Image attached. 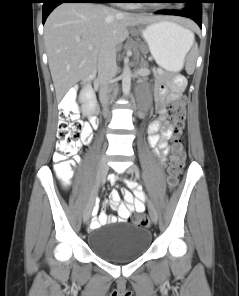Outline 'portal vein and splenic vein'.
I'll return each mask as SVG.
<instances>
[{
  "label": "portal vein and splenic vein",
  "mask_w": 239,
  "mask_h": 296,
  "mask_svg": "<svg viewBox=\"0 0 239 296\" xmlns=\"http://www.w3.org/2000/svg\"><path fill=\"white\" fill-rule=\"evenodd\" d=\"M88 49L92 50L93 49V45H89Z\"/></svg>",
  "instance_id": "18ae733b"
}]
</instances>
